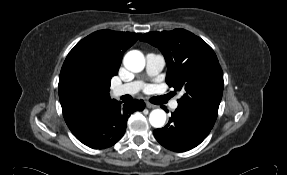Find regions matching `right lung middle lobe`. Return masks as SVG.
Wrapping results in <instances>:
<instances>
[{"mask_svg": "<svg viewBox=\"0 0 287 175\" xmlns=\"http://www.w3.org/2000/svg\"><path fill=\"white\" fill-rule=\"evenodd\" d=\"M95 96V88L85 73L77 75L71 88L70 97L74 105L82 107Z\"/></svg>", "mask_w": 287, "mask_h": 175, "instance_id": "1", "label": "right lung middle lobe"}]
</instances>
